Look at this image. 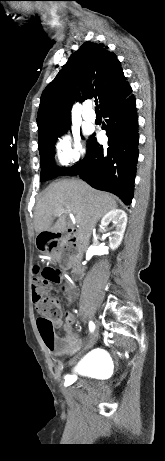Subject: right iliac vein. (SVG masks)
<instances>
[{
  "instance_id": "63e3f726",
  "label": "right iliac vein",
  "mask_w": 165,
  "mask_h": 461,
  "mask_svg": "<svg viewBox=\"0 0 165 461\" xmlns=\"http://www.w3.org/2000/svg\"><path fill=\"white\" fill-rule=\"evenodd\" d=\"M97 337H98V332L97 330L95 329L94 332L92 333L91 335V338H90V342H89V348L92 347L94 345V343L96 342L97 340ZM74 361V360H73ZM73 361L71 363H73Z\"/></svg>"
}]
</instances>
